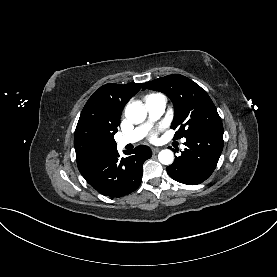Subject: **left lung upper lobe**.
Wrapping results in <instances>:
<instances>
[{
  "label": "left lung upper lobe",
  "mask_w": 277,
  "mask_h": 277,
  "mask_svg": "<svg viewBox=\"0 0 277 277\" xmlns=\"http://www.w3.org/2000/svg\"><path fill=\"white\" fill-rule=\"evenodd\" d=\"M165 93L173 102L175 116L171 128L175 139L189 138L203 131L223 128L221 118L207 92L180 74L146 82L143 89Z\"/></svg>",
  "instance_id": "left-lung-upper-lobe-1"
}]
</instances>
